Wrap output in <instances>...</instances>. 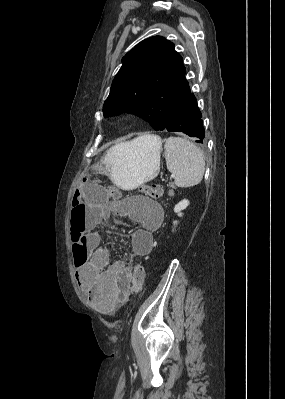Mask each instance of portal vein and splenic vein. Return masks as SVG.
<instances>
[{"label": "portal vein and splenic vein", "mask_w": 285, "mask_h": 399, "mask_svg": "<svg viewBox=\"0 0 285 399\" xmlns=\"http://www.w3.org/2000/svg\"><path fill=\"white\" fill-rule=\"evenodd\" d=\"M171 178H174V175H171Z\"/></svg>", "instance_id": "1"}]
</instances>
